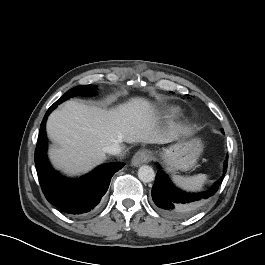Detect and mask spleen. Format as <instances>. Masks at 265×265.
Returning <instances> with one entry per match:
<instances>
[{
    "label": "spleen",
    "mask_w": 265,
    "mask_h": 265,
    "mask_svg": "<svg viewBox=\"0 0 265 265\" xmlns=\"http://www.w3.org/2000/svg\"><path fill=\"white\" fill-rule=\"evenodd\" d=\"M207 178L208 176L206 174H197L193 176H180V175L172 176L173 182L178 187L191 192L201 190Z\"/></svg>",
    "instance_id": "1"
}]
</instances>
